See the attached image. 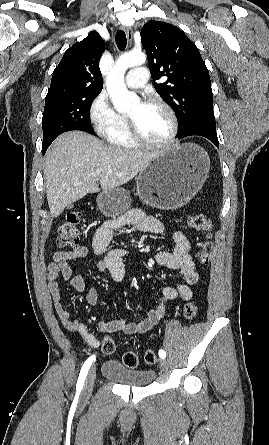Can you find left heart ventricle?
<instances>
[{
    "instance_id": "b2bd125f",
    "label": "left heart ventricle",
    "mask_w": 269,
    "mask_h": 445,
    "mask_svg": "<svg viewBox=\"0 0 269 445\" xmlns=\"http://www.w3.org/2000/svg\"><path fill=\"white\" fill-rule=\"evenodd\" d=\"M135 118L142 135L154 142L164 140L171 131V120L159 105L138 102L129 112Z\"/></svg>"
}]
</instances>
